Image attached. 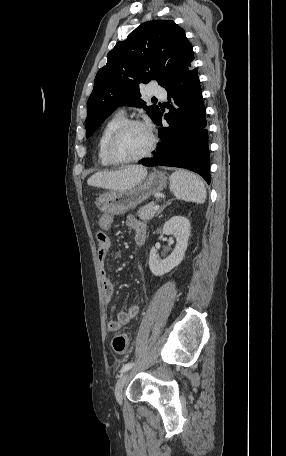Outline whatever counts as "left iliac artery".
I'll return each instance as SVG.
<instances>
[{"instance_id":"44dca946","label":"left iliac artery","mask_w":286,"mask_h":456,"mask_svg":"<svg viewBox=\"0 0 286 456\" xmlns=\"http://www.w3.org/2000/svg\"><path fill=\"white\" fill-rule=\"evenodd\" d=\"M133 365H134L133 362H129V363L123 365V367L121 369V373L128 371L129 369H131L133 367Z\"/></svg>"}]
</instances>
